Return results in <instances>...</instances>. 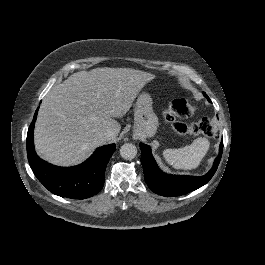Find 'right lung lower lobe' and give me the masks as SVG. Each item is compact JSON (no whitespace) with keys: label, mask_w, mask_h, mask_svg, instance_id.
Here are the masks:
<instances>
[{"label":"right lung lower lobe","mask_w":265,"mask_h":265,"mask_svg":"<svg viewBox=\"0 0 265 265\" xmlns=\"http://www.w3.org/2000/svg\"><path fill=\"white\" fill-rule=\"evenodd\" d=\"M38 109L27 134V155L31 169L44 187L55 195L86 199L97 194L104 185L107 163L116 145L99 147L84 163L74 167H58L40 159L35 152L33 130Z\"/></svg>","instance_id":"98d812e1"}]
</instances>
